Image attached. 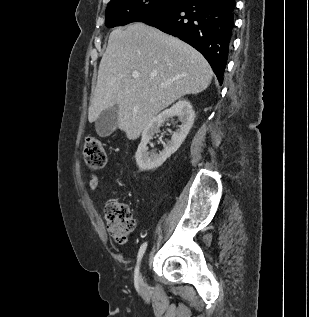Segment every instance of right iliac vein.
<instances>
[{
    "label": "right iliac vein",
    "mask_w": 309,
    "mask_h": 317,
    "mask_svg": "<svg viewBox=\"0 0 309 317\" xmlns=\"http://www.w3.org/2000/svg\"><path fill=\"white\" fill-rule=\"evenodd\" d=\"M140 288L142 291H145L146 288H147V283H146V280H145V277L143 276V273L140 274Z\"/></svg>",
    "instance_id": "63e3f726"
}]
</instances>
